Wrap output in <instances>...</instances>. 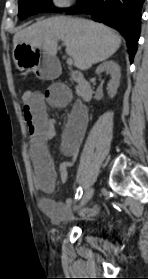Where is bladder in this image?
I'll return each mask as SVG.
<instances>
[{
  "mask_svg": "<svg viewBox=\"0 0 148 279\" xmlns=\"http://www.w3.org/2000/svg\"><path fill=\"white\" fill-rule=\"evenodd\" d=\"M86 230L90 231V228H87Z\"/></svg>",
  "mask_w": 148,
  "mask_h": 279,
  "instance_id": "bladder-1",
  "label": "bladder"
}]
</instances>
